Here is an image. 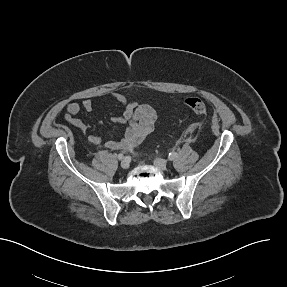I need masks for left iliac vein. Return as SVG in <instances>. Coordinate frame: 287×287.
I'll use <instances>...</instances> for the list:
<instances>
[{
    "instance_id": "obj_1",
    "label": "left iliac vein",
    "mask_w": 287,
    "mask_h": 287,
    "mask_svg": "<svg viewBox=\"0 0 287 287\" xmlns=\"http://www.w3.org/2000/svg\"><path fill=\"white\" fill-rule=\"evenodd\" d=\"M154 165L160 170H165L167 168V161L161 158L154 160Z\"/></svg>"
}]
</instances>
